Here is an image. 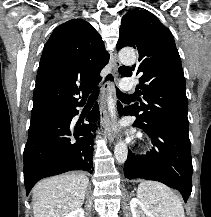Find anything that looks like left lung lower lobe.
<instances>
[{"label":"left lung lower lobe","instance_id":"obj_1","mask_svg":"<svg viewBox=\"0 0 211 217\" xmlns=\"http://www.w3.org/2000/svg\"><path fill=\"white\" fill-rule=\"evenodd\" d=\"M118 112L133 116L128 107L123 108L120 103ZM134 126L148 134L154 148L146 155H135L129 151L124 165L125 177L162 182L177 189L187 202L192 190L193 171L188 133L162 123L142 124L136 120Z\"/></svg>","mask_w":211,"mask_h":217}]
</instances>
